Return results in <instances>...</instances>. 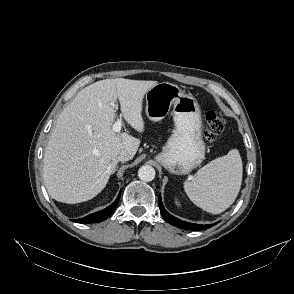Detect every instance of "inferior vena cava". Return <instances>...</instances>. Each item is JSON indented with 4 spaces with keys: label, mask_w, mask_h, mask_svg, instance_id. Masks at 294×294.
I'll use <instances>...</instances> for the list:
<instances>
[{
    "label": "inferior vena cava",
    "mask_w": 294,
    "mask_h": 294,
    "mask_svg": "<svg viewBox=\"0 0 294 294\" xmlns=\"http://www.w3.org/2000/svg\"><path fill=\"white\" fill-rule=\"evenodd\" d=\"M130 159H132V156L130 153H128L127 151H121L118 155H117V160L120 162H126L129 161Z\"/></svg>",
    "instance_id": "inferior-vena-cava-1"
}]
</instances>
